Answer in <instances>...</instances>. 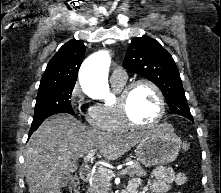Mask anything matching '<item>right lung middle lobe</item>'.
Wrapping results in <instances>:
<instances>
[{"label":"right lung middle lobe","mask_w":221,"mask_h":193,"mask_svg":"<svg viewBox=\"0 0 221 193\" xmlns=\"http://www.w3.org/2000/svg\"><path fill=\"white\" fill-rule=\"evenodd\" d=\"M74 85L49 86L39 88L33 121L56 114L75 112L71 106V93Z\"/></svg>","instance_id":"right-lung-middle-lobe-1"}]
</instances>
